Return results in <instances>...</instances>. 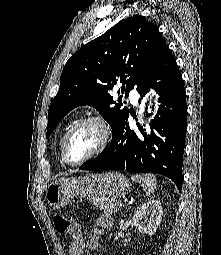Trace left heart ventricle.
<instances>
[{"mask_svg": "<svg viewBox=\"0 0 221 255\" xmlns=\"http://www.w3.org/2000/svg\"><path fill=\"white\" fill-rule=\"evenodd\" d=\"M101 139L100 129L88 124L78 129L71 137L67 153L71 161H79L92 153Z\"/></svg>", "mask_w": 221, "mask_h": 255, "instance_id": "left-heart-ventricle-1", "label": "left heart ventricle"}]
</instances>
